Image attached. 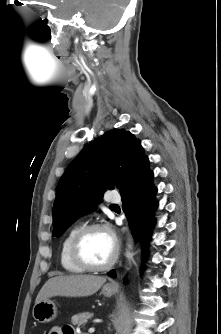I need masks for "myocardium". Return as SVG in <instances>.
Here are the masks:
<instances>
[{
  "label": "myocardium",
  "instance_id": "myocardium-1",
  "mask_svg": "<svg viewBox=\"0 0 221 334\" xmlns=\"http://www.w3.org/2000/svg\"><path fill=\"white\" fill-rule=\"evenodd\" d=\"M94 230H104L108 232L114 240L115 250L111 259L102 265H94L88 262L81 252V244L88 233ZM70 253L72 260L81 268L87 271H105L110 269L118 259L119 256V242L117 237L110 226L103 223H92L82 226L75 234L70 247Z\"/></svg>",
  "mask_w": 221,
  "mask_h": 334
}]
</instances>
